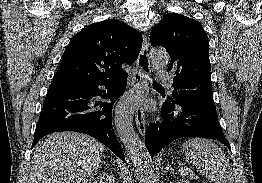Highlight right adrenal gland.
<instances>
[{
    "mask_svg": "<svg viewBox=\"0 0 262 183\" xmlns=\"http://www.w3.org/2000/svg\"><path fill=\"white\" fill-rule=\"evenodd\" d=\"M101 164H105L106 166H108V164L105 161H102Z\"/></svg>",
    "mask_w": 262,
    "mask_h": 183,
    "instance_id": "2a0ac1e0",
    "label": "right adrenal gland"
}]
</instances>
